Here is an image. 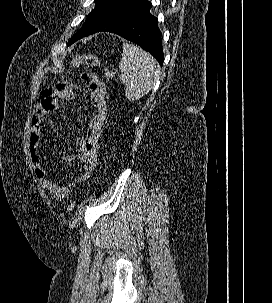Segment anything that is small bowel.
<instances>
[{
  "label": "small bowel",
  "instance_id": "obj_1",
  "mask_svg": "<svg viewBox=\"0 0 272 303\" xmlns=\"http://www.w3.org/2000/svg\"><path fill=\"white\" fill-rule=\"evenodd\" d=\"M81 78L83 86L89 92V102L93 107V111L87 121L85 136L75 141V152L63 154L60 157L65 162L75 159L80 161L82 169L73 180L67 183H60L49 178L46 169L42 165L40 148L41 123L44 117L59 108L60 100H72L77 90L76 85L68 81H60L56 85L42 90L31 117L29 153L34 173L43 188L57 201L66 199L77 185L88 180L98 165L99 141L107 115L106 86L92 73H84Z\"/></svg>",
  "mask_w": 272,
  "mask_h": 303
}]
</instances>
